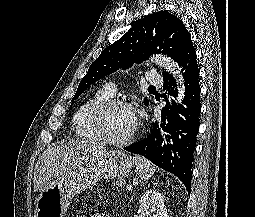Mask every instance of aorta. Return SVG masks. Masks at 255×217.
Listing matches in <instances>:
<instances>
[{
	"mask_svg": "<svg viewBox=\"0 0 255 217\" xmlns=\"http://www.w3.org/2000/svg\"><path fill=\"white\" fill-rule=\"evenodd\" d=\"M151 62L157 64L160 67H163L167 72L173 75L178 84L179 91L178 100L181 102L184 98L185 87L183 84L184 83L183 76L177 63L163 55L153 57L151 59Z\"/></svg>",
	"mask_w": 255,
	"mask_h": 217,
	"instance_id": "aorta-1",
	"label": "aorta"
}]
</instances>
